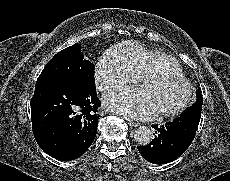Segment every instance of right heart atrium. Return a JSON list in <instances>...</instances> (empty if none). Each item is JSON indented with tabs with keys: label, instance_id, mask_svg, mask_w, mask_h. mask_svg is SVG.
I'll use <instances>...</instances> for the list:
<instances>
[{
	"label": "right heart atrium",
	"instance_id": "d8ad5b80",
	"mask_svg": "<svg viewBox=\"0 0 230 181\" xmlns=\"http://www.w3.org/2000/svg\"><path fill=\"white\" fill-rule=\"evenodd\" d=\"M132 76L124 71L117 70L107 62V57L101 60L95 68V81L102 91L115 90L132 80Z\"/></svg>",
	"mask_w": 230,
	"mask_h": 181
}]
</instances>
